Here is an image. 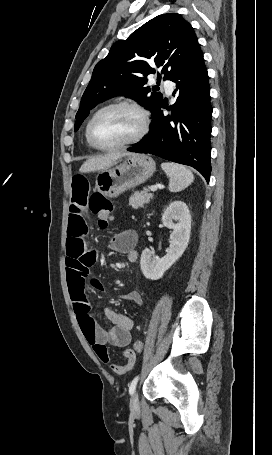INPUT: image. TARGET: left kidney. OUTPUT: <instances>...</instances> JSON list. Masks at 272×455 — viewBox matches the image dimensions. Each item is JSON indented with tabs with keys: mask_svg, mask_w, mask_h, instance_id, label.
Masks as SVG:
<instances>
[{
	"mask_svg": "<svg viewBox=\"0 0 272 455\" xmlns=\"http://www.w3.org/2000/svg\"><path fill=\"white\" fill-rule=\"evenodd\" d=\"M162 222L165 227L172 229L169 251L163 258H159L145 248L140 259L143 275L151 280H158L163 276L165 271L182 256L190 239L191 215L186 203L172 202L164 211Z\"/></svg>",
	"mask_w": 272,
	"mask_h": 455,
	"instance_id": "left-kidney-1",
	"label": "left kidney"
}]
</instances>
